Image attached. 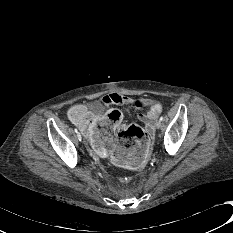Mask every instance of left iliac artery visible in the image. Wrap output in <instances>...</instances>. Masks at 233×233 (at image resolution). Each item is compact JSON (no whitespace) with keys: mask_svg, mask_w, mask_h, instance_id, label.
<instances>
[{"mask_svg":"<svg viewBox=\"0 0 233 233\" xmlns=\"http://www.w3.org/2000/svg\"><path fill=\"white\" fill-rule=\"evenodd\" d=\"M163 120H164V118H163V116H161V117H160V121H163Z\"/></svg>","mask_w":233,"mask_h":233,"instance_id":"obj_1","label":"left iliac artery"}]
</instances>
